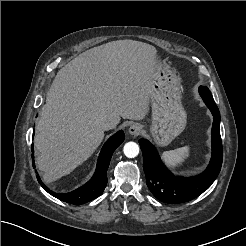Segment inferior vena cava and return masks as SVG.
<instances>
[{"instance_id":"inferior-vena-cava-1","label":"inferior vena cava","mask_w":246,"mask_h":246,"mask_svg":"<svg viewBox=\"0 0 246 246\" xmlns=\"http://www.w3.org/2000/svg\"><path fill=\"white\" fill-rule=\"evenodd\" d=\"M101 127L104 131L105 130H111L115 127V123L110 119H105L102 121Z\"/></svg>"}]
</instances>
